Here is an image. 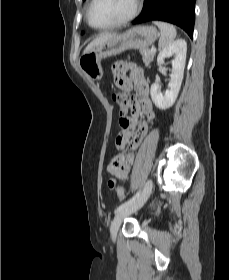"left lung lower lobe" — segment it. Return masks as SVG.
Wrapping results in <instances>:
<instances>
[{
    "label": "left lung lower lobe",
    "mask_w": 229,
    "mask_h": 280,
    "mask_svg": "<svg viewBox=\"0 0 229 280\" xmlns=\"http://www.w3.org/2000/svg\"><path fill=\"white\" fill-rule=\"evenodd\" d=\"M195 2L196 0H145L141 15L132 23L165 21L181 27L192 38Z\"/></svg>",
    "instance_id": "left-lung-lower-lobe-1"
}]
</instances>
